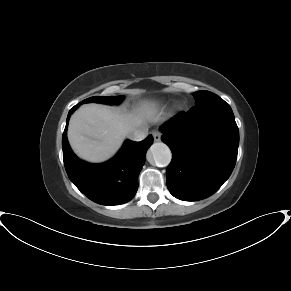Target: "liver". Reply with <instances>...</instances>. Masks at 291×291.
I'll return each instance as SVG.
<instances>
[{"label": "liver", "mask_w": 291, "mask_h": 291, "mask_svg": "<svg viewBox=\"0 0 291 291\" xmlns=\"http://www.w3.org/2000/svg\"><path fill=\"white\" fill-rule=\"evenodd\" d=\"M160 116L152 103H143L131 112L99 104L81 106L71 117L68 140L73 151L82 159L98 163L113 156L125 137Z\"/></svg>", "instance_id": "liver-1"}]
</instances>
